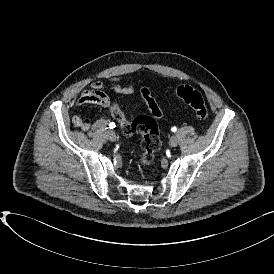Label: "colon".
I'll return each mask as SVG.
<instances>
[{
	"label": "colon",
	"mask_w": 274,
	"mask_h": 274,
	"mask_svg": "<svg viewBox=\"0 0 274 274\" xmlns=\"http://www.w3.org/2000/svg\"><path fill=\"white\" fill-rule=\"evenodd\" d=\"M175 95L194 110L199 120L205 121L207 119L208 109L197 88L190 85H180L176 88ZM146 104L150 114H155L154 118L148 115H140L129 121L118 103H113L111 106V115L118 122L125 135L131 136L140 133L143 136L142 152L136 159L137 165L142 170L152 165L155 154L160 147L157 123L153 120L163 116V111L154 98H149Z\"/></svg>",
	"instance_id": "colon-1"
}]
</instances>
